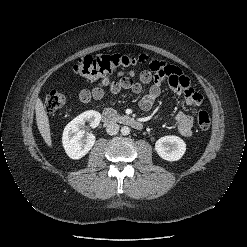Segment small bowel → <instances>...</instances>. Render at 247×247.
Listing matches in <instances>:
<instances>
[{"instance_id":"1","label":"small bowel","mask_w":247,"mask_h":247,"mask_svg":"<svg viewBox=\"0 0 247 247\" xmlns=\"http://www.w3.org/2000/svg\"><path fill=\"white\" fill-rule=\"evenodd\" d=\"M134 76V71H122L118 73V80L113 81L109 77H104L92 90H82L79 94V99L83 104L89 103L92 99L100 100L104 96L106 88L112 94H118L122 90H130L133 93L139 94L144 86L150 85L148 92L139 101L140 109L149 111L161 94L162 81L168 78L172 92L183 96L189 106L198 107L203 101V96L192 87L189 78L178 67L166 62L152 61L150 71H142L138 75V81L133 80ZM175 119L179 133L184 137L191 136L194 118L180 111L176 114Z\"/></svg>"}]
</instances>
